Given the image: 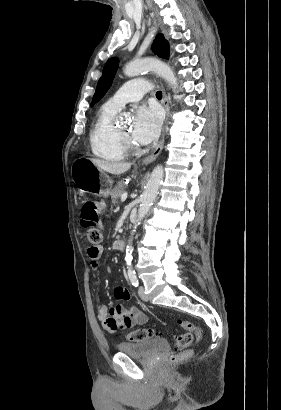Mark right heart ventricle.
Here are the masks:
<instances>
[{
    "mask_svg": "<svg viewBox=\"0 0 281 410\" xmlns=\"http://www.w3.org/2000/svg\"><path fill=\"white\" fill-rule=\"evenodd\" d=\"M117 112L102 106L90 131L89 141L93 155L106 162L121 161L127 155V147L113 124Z\"/></svg>",
    "mask_w": 281,
    "mask_h": 410,
    "instance_id": "e07e8e85",
    "label": "right heart ventricle"
}]
</instances>
